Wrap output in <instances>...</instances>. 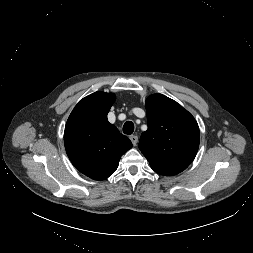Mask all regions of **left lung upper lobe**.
<instances>
[{"mask_svg": "<svg viewBox=\"0 0 253 253\" xmlns=\"http://www.w3.org/2000/svg\"><path fill=\"white\" fill-rule=\"evenodd\" d=\"M148 129L139 149L151 168L165 176L176 175L194 160L199 147V127L194 117L174 100L154 94L146 101Z\"/></svg>", "mask_w": 253, "mask_h": 253, "instance_id": "1", "label": "left lung upper lobe"}]
</instances>
